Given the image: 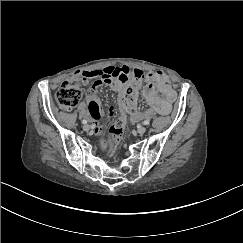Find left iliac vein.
<instances>
[{
    "mask_svg": "<svg viewBox=\"0 0 243 243\" xmlns=\"http://www.w3.org/2000/svg\"><path fill=\"white\" fill-rule=\"evenodd\" d=\"M146 130H147L146 127L141 126V127H139V128L137 129V132H138L139 134H144V133L146 132Z\"/></svg>",
    "mask_w": 243,
    "mask_h": 243,
    "instance_id": "obj_1",
    "label": "left iliac vein"
}]
</instances>
